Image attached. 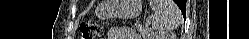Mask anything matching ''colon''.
I'll return each mask as SVG.
<instances>
[{"instance_id": "colon-1", "label": "colon", "mask_w": 249, "mask_h": 39, "mask_svg": "<svg viewBox=\"0 0 249 39\" xmlns=\"http://www.w3.org/2000/svg\"><path fill=\"white\" fill-rule=\"evenodd\" d=\"M81 39H98L103 35V27L96 21H88L80 25Z\"/></svg>"}]
</instances>
